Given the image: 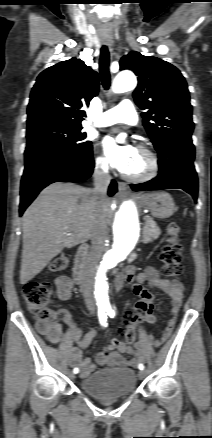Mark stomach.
Listing matches in <instances>:
<instances>
[{"label":"stomach","instance_id":"stomach-1","mask_svg":"<svg viewBox=\"0 0 212 438\" xmlns=\"http://www.w3.org/2000/svg\"><path fill=\"white\" fill-rule=\"evenodd\" d=\"M141 204L150 210L157 218H168L175 212V204L170 194L166 192H152L140 197Z\"/></svg>","mask_w":212,"mask_h":438}]
</instances>
